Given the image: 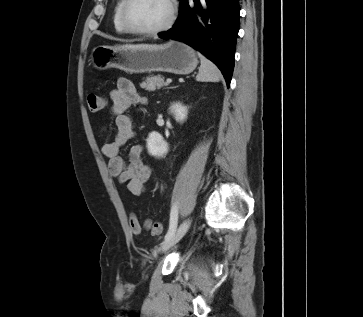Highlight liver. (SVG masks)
Segmentation results:
<instances>
[{
	"mask_svg": "<svg viewBox=\"0 0 363 317\" xmlns=\"http://www.w3.org/2000/svg\"><path fill=\"white\" fill-rule=\"evenodd\" d=\"M150 47H156V45H148V44H125V45H119L115 48H150Z\"/></svg>",
	"mask_w": 363,
	"mask_h": 317,
	"instance_id": "6515ba94",
	"label": "liver"
}]
</instances>
